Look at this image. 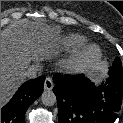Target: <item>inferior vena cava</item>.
I'll use <instances>...</instances> for the list:
<instances>
[{"mask_svg": "<svg viewBox=\"0 0 123 123\" xmlns=\"http://www.w3.org/2000/svg\"><path fill=\"white\" fill-rule=\"evenodd\" d=\"M41 73V68L38 64L29 66V68L23 73L25 79L36 78Z\"/></svg>", "mask_w": 123, "mask_h": 123, "instance_id": "602c4592", "label": "inferior vena cava"}]
</instances>
